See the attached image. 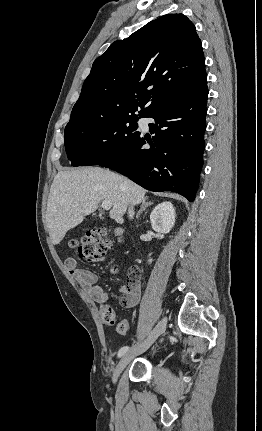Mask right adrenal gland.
<instances>
[{"label":"right adrenal gland","mask_w":262,"mask_h":431,"mask_svg":"<svg viewBox=\"0 0 262 431\" xmlns=\"http://www.w3.org/2000/svg\"><path fill=\"white\" fill-rule=\"evenodd\" d=\"M152 204H153V202H151V201H147L146 202V200H143L141 208H140V210L136 214V218L138 219L140 217V214L142 213V211H144L148 206H150Z\"/></svg>","instance_id":"right-adrenal-gland-1"}]
</instances>
